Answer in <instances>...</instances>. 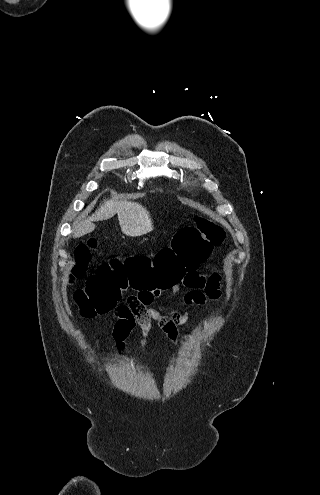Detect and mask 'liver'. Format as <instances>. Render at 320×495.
Segmentation results:
<instances>
[{
	"label": "liver",
	"mask_w": 320,
	"mask_h": 495,
	"mask_svg": "<svg viewBox=\"0 0 320 495\" xmlns=\"http://www.w3.org/2000/svg\"><path fill=\"white\" fill-rule=\"evenodd\" d=\"M118 215L121 231L128 236H141L153 229L149 212L137 202L119 201L117 198L104 200L91 216L77 221L73 237L79 238L95 230V221H103Z\"/></svg>",
	"instance_id": "liver-1"
}]
</instances>
